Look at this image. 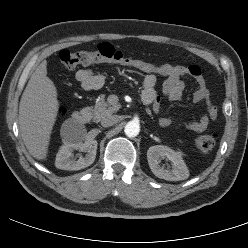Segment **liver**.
I'll list each match as a JSON object with an SVG mask.
<instances>
[{"mask_svg": "<svg viewBox=\"0 0 248 248\" xmlns=\"http://www.w3.org/2000/svg\"><path fill=\"white\" fill-rule=\"evenodd\" d=\"M58 109L57 89L47 77L44 60L31 75L19 104L21 137L29 153L38 160L47 156Z\"/></svg>", "mask_w": 248, "mask_h": 248, "instance_id": "obj_1", "label": "liver"}]
</instances>
